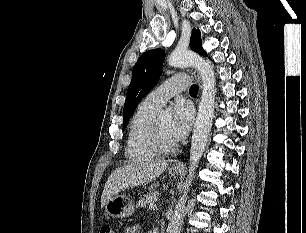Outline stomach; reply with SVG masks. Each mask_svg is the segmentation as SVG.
Returning a JSON list of instances; mask_svg holds the SVG:
<instances>
[{
	"label": "stomach",
	"instance_id": "1",
	"mask_svg": "<svg viewBox=\"0 0 306 233\" xmlns=\"http://www.w3.org/2000/svg\"><path fill=\"white\" fill-rule=\"evenodd\" d=\"M169 173L172 176H177L181 173V170L170 169ZM134 202L125 195L113 196L105 204V212L113 218L129 217L134 213Z\"/></svg>",
	"mask_w": 306,
	"mask_h": 233
}]
</instances>
